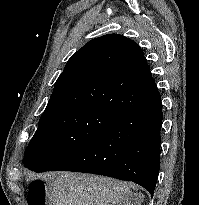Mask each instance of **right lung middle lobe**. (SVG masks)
<instances>
[{"label": "right lung middle lobe", "mask_w": 199, "mask_h": 205, "mask_svg": "<svg viewBox=\"0 0 199 205\" xmlns=\"http://www.w3.org/2000/svg\"><path fill=\"white\" fill-rule=\"evenodd\" d=\"M119 117L88 106L44 112L26 148L23 164L35 172L49 171L94 142Z\"/></svg>", "instance_id": "right-lung-middle-lobe-1"}]
</instances>
